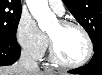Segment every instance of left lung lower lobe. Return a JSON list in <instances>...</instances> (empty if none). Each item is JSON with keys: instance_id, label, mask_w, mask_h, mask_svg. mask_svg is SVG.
Here are the masks:
<instances>
[{"instance_id": "left-lung-lower-lobe-1", "label": "left lung lower lobe", "mask_w": 102, "mask_h": 75, "mask_svg": "<svg viewBox=\"0 0 102 75\" xmlns=\"http://www.w3.org/2000/svg\"><path fill=\"white\" fill-rule=\"evenodd\" d=\"M68 72L82 75H102V46L94 49V56L88 64Z\"/></svg>"}]
</instances>
